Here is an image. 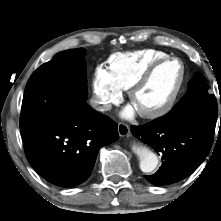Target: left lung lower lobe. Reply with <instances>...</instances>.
Segmentation results:
<instances>
[{
    "instance_id": "left-lung-lower-lobe-1",
    "label": "left lung lower lobe",
    "mask_w": 221,
    "mask_h": 221,
    "mask_svg": "<svg viewBox=\"0 0 221 221\" xmlns=\"http://www.w3.org/2000/svg\"><path fill=\"white\" fill-rule=\"evenodd\" d=\"M216 122L161 123L158 119L132 126L133 135L162 155V166L145 178L154 185L176 183L205 160L213 143Z\"/></svg>"
}]
</instances>
